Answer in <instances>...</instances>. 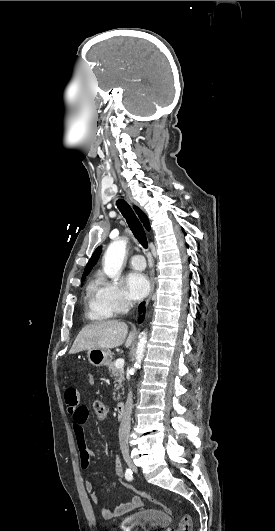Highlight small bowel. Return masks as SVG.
Instances as JSON below:
<instances>
[{
    "mask_svg": "<svg viewBox=\"0 0 275 531\" xmlns=\"http://www.w3.org/2000/svg\"><path fill=\"white\" fill-rule=\"evenodd\" d=\"M87 383L94 381L92 374L85 376ZM65 402L67 410L71 415L73 424L72 430L80 450V463L82 468H88L91 463V459L95 456L92 449L88 448L85 434V426L89 420V411L86 407L78 405V396L74 391H68L65 394ZM115 473L119 478L123 477L122 465L118 458L114 460ZM85 490L90 495V499L93 504L101 508V515L105 520L114 519L116 517L123 516L129 512L139 509L142 506V500L138 495L133 496L129 501L122 503L114 508H105L101 505L100 499L96 493V486L91 481L85 482ZM128 489V488H127Z\"/></svg>",
    "mask_w": 275,
    "mask_h": 531,
    "instance_id": "c3829d8e",
    "label": "small bowel"
}]
</instances>
